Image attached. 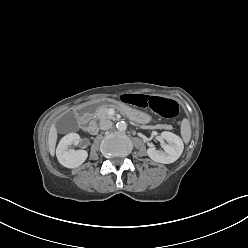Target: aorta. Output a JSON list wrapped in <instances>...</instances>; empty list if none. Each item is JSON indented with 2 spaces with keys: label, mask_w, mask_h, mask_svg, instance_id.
I'll return each mask as SVG.
<instances>
[{
  "label": "aorta",
  "mask_w": 248,
  "mask_h": 248,
  "mask_svg": "<svg viewBox=\"0 0 248 248\" xmlns=\"http://www.w3.org/2000/svg\"><path fill=\"white\" fill-rule=\"evenodd\" d=\"M116 128L119 130V131H125L127 129V124L126 122L124 121H120L116 124Z\"/></svg>",
  "instance_id": "aorta-1"
}]
</instances>
